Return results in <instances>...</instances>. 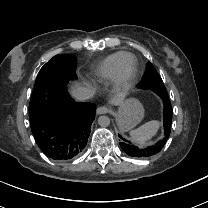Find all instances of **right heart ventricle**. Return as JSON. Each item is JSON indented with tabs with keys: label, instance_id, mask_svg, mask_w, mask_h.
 <instances>
[{
	"label": "right heart ventricle",
	"instance_id": "e07e8e85",
	"mask_svg": "<svg viewBox=\"0 0 208 208\" xmlns=\"http://www.w3.org/2000/svg\"><path fill=\"white\" fill-rule=\"evenodd\" d=\"M132 60H136V56L131 52H115L92 68L89 74L90 79L96 86L101 88L115 86L118 83L120 70Z\"/></svg>",
	"mask_w": 208,
	"mask_h": 208
}]
</instances>
